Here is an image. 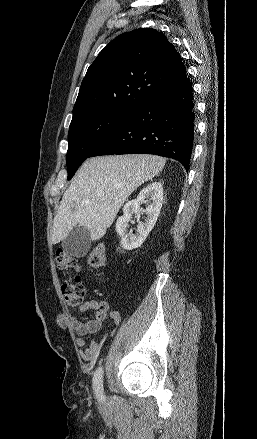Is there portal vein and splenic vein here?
<instances>
[{
    "label": "portal vein and splenic vein",
    "mask_w": 257,
    "mask_h": 439,
    "mask_svg": "<svg viewBox=\"0 0 257 439\" xmlns=\"http://www.w3.org/2000/svg\"><path fill=\"white\" fill-rule=\"evenodd\" d=\"M98 197H100V198H101V197H103V195H102V194H99V195H98Z\"/></svg>",
    "instance_id": "1"
}]
</instances>
